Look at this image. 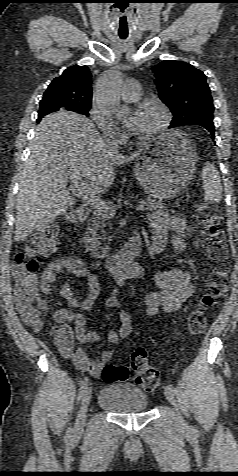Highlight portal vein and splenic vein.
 Listing matches in <instances>:
<instances>
[{"label":"portal vein and splenic vein","instance_id":"18ae733b","mask_svg":"<svg viewBox=\"0 0 238 476\" xmlns=\"http://www.w3.org/2000/svg\"><path fill=\"white\" fill-rule=\"evenodd\" d=\"M75 194L91 208L95 209L99 214L111 218L115 215L114 205L107 204L99 198V196L92 191L90 186L85 183L80 177L70 178ZM146 202L142 201L137 205L136 211L145 210Z\"/></svg>","mask_w":238,"mask_h":476}]
</instances>
